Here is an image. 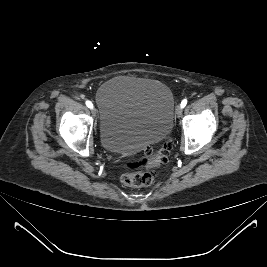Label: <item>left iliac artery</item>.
<instances>
[{"label":"left iliac artery","instance_id":"1","mask_svg":"<svg viewBox=\"0 0 267 267\" xmlns=\"http://www.w3.org/2000/svg\"><path fill=\"white\" fill-rule=\"evenodd\" d=\"M187 104V100L184 99L182 102H181V107L184 108Z\"/></svg>","mask_w":267,"mask_h":267}]
</instances>
